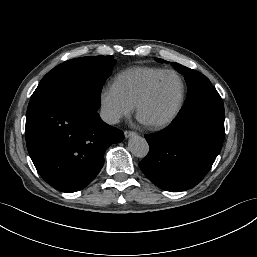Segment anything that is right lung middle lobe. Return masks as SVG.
Instances as JSON below:
<instances>
[{"label": "right lung middle lobe", "mask_w": 257, "mask_h": 257, "mask_svg": "<svg viewBox=\"0 0 257 257\" xmlns=\"http://www.w3.org/2000/svg\"><path fill=\"white\" fill-rule=\"evenodd\" d=\"M115 62L113 56H87L65 61L43 77L31 99L60 92H79L99 106L102 86Z\"/></svg>", "instance_id": "1"}]
</instances>
